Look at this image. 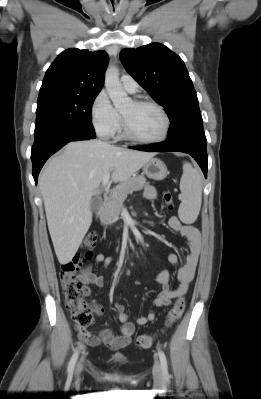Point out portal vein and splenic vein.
I'll list each match as a JSON object with an SVG mask.
<instances>
[{
	"label": "portal vein and splenic vein",
	"instance_id": "obj_1",
	"mask_svg": "<svg viewBox=\"0 0 261 399\" xmlns=\"http://www.w3.org/2000/svg\"><path fill=\"white\" fill-rule=\"evenodd\" d=\"M109 179H110V174H109V173L105 174L104 177H103V179H102V184H103L104 186L108 185Z\"/></svg>",
	"mask_w": 261,
	"mask_h": 399
}]
</instances>
